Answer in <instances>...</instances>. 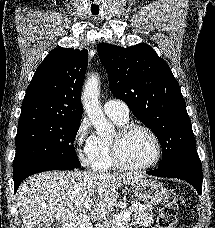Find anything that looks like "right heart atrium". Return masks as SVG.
Returning <instances> with one entry per match:
<instances>
[{"mask_svg": "<svg viewBox=\"0 0 215 228\" xmlns=\"http://www.w3.org/2000/svg\"><path fill=\"white\" fill-rule=\"evenodd\" d=\"M90 133V123L86 117L78 122L73 133V146L77 159L83 164H89L91 154V144L93 141Z\"/></svg>", "mask_w": 215, "mask_h": 228, "instance_id": "d8ad5b80", "label": "right heart atrium"}]
</instances>
